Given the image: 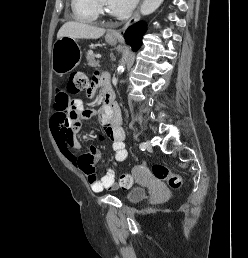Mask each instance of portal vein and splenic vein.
<instances>
[{"instance_id": "1", "label": "portal vein and splenic vein", "mask_w": 248, "mask_h": 258, "mask_svg": "<svg viewBox=\"0 0 248 258\" xmlns=\"http://www.w3.org/2000/svg\"><path fill=\"white\" fill-rule=\"evenodd\" d=\"M96 58H97V59H100V58H101V55H97Z\"/></svg>"}]
</instances>
